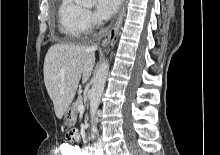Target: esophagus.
<instances>
[{
  "label": "esophagus",
  "instance_id": "esophagus-1",
  "mask_svg": "<svg viewBox=\"0 0 220 155\" xmlns=\"http://www.w3.org/2000/svg\"><path fill=\"white\" fill-rule=\"evenodd\" d=\"M124 13H125V3L123 2L122 7L119 12V15H118V18H117V21L114 24L113 28L109 31L107 38L104 40L103 47H107L113 43V41L118 33V30L120 28V25L122 23Z\"/></svg>",
  "mask_w": 220,
  "mask_h": 155
}]
</instances>
